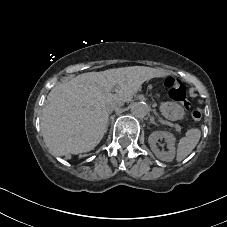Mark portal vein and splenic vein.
I'll return each instance as SVG.
<instances>
[{"label":"portal vein and splenic vein","instance_id":"18ae733b","mask_svg":"<svg viewBox=\"0 0 227 227\" xmlns=\"http://www.w3.org/2000/svg\"><path fill=\"white\" fill-rule=\"evenodd\" d=\"M160 124L167 126V127H171L172 129L175 127L174 130L177 131V132H180L182 130L176 123L173 125L171 122L166 121V120H161Z\"/></svg>","mask_w":227,"mask_h":227}]
</instances>
